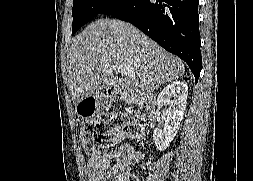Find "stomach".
I'll use <instances>...</instances> for the list:
<instances>
[{
	"label": "stomach",
	"instance_id": "1",
	"mask_svg": "<svg viewBox=\"0 0 253 181\" xmlns=\"http://www.w3.org/2000/svg\"><path fill=\"white\" fill-rule=\"evenodd\" d=\"M105 102L104 95L101 92H95L76 104V113L82 118L94 117L102 110Z\"/></svg>",
	"mask_w": 253,
	"mask_h": 181
}]
</instances>
